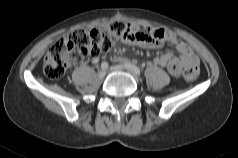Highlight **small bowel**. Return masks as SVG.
<instances>
[{"mask_svg": "<svg viewBox=\"0 0 238 158\" xmlns=\"http://www.w3.org/2000/svg\"><path fill=\"white\" fill-rule=\"evenodd\" d=\"M133 35L125 42L146 49H157L164 43L173 45L178 54L165 52L154 59V63L166 67L172 75H179L182 68L199 66V59L194 54L190 46L177 35L161 28L148 27L142 30L139 26L131 24ZM114 61H124L119 56H113Z\"/></svg>", "mask_w": 238, "mask_h": 158, "instance_id": "1", "label": "small bowel"}]
</instances>
